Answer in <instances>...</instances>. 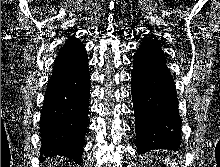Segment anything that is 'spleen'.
<instances>
[{"label":"spleen","instance_id":"obj_1","mask_svg":"<svg viewBox=\"0 0 220 167\" xmlns=\"http://www.w3.org/2000/svg\"><path fill=\"white\" fill-rule=\"evenodd\" d=\"M165 163L167 164V166L169 165L170 167H178L174 160L172 161L170 159H167L165 160Z\"/></svg>","mask_w":220,"mask_h":167}]
</instances>
